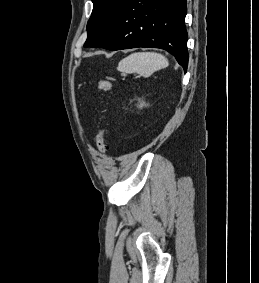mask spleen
Instances as JSON below:
<instances>
[{
  "label": "spleen",
  "instance_id": "3e777b00",
  "mask_svg": "<svg viewBox=\"0 0 259 283\" xmlns=\"http://www.w3.org/2000/svg\"><path fill=\"white\" fill-rule=\"evenodd\" d=\"M168 66L167 58L155 52L133 53L122 59L118 64V70L123 74L138 73L144 77H149L155 71Z\"/></svg>",
  "mask_w": 259,
  "mask_h": 283
}]
</instances>
